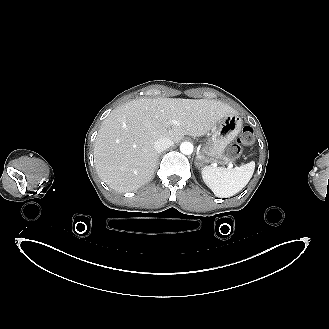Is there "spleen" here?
Here are the masks:
<instances>
[{"label":"spleen","mask_w":329,"mask_h":329,"mask_svg":"<svg viewBox=\"0 0 329 329\" xmlns=\"http://www.w3.org/2000/svg\"><path fill=\"white\" fill-rule=\"evenodd\" d=\"M254 170L255 162L251 161L233 169L205 166L201 174L203 181L215 196L224 198L240 192L250 181Z\"/></svg>","instance_id":"1"}]
</instances>
